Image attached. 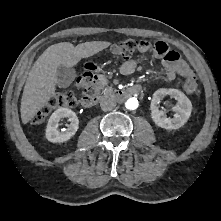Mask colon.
Wrapping results in <instances>:
<instances>
[{
  "label": "colon",
  "mask_w": 221,
  "mask_h": 221,
  "mask_svg": "<svg viewBox=\"0 0 221 221\" xmlns=\"http://www.w3.org/2000/svg\"><path fill=\"white\" fill-rule=\"evenodd\" d=\"M139 45L140 42L135 39H126L113 45L111 50L118 58L129 59L139 48ZM95 82L96 77H94L92 73H84L76 81V87L81 91V96L71 91L54 94L42 109L35 114L33 122L36 124L42 123L48 114L54 109L76 106L81 101L83 95L91 92ZM184 89L189 94L197 95L199 93V85L193 75L185 79Z\"/></svg>",
  "instance_id": "colon-1"
}]
</instances>
